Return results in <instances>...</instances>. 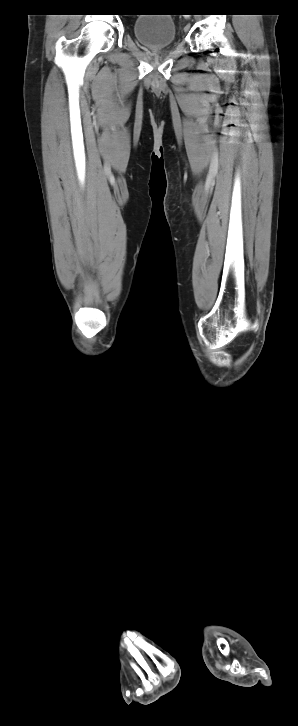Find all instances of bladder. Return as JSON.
<instances>
[{"mask_svg": "<svg viewBox=\"0 0 298 726\" xmlns=\"http://www.w3.org/2000/svg\"><path fill=\"white\" fill-rule=\"evenodd\" d=\"M132 29L135 38L149 49H163L176 40L175 22L166 14H140Z\"/></svg>", "mask_w": 298, "mask_h": 726, "instance_id": "bladder-1", "label": "bladder"}]
</instances>
